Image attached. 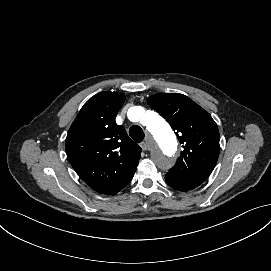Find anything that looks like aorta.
Masks as SVG:
<instances>
[{
    "label": "aorta",
    "instance_id": "aorta-1",
    "mask_svg": "<svg viewBox=\"0 0 271 271\" xmlns=\"http://www.w3.org/2000/svg\"><path fill=\"white\" fill-rule=\"evenodd\" d=\"M140 122L151 134L152 158L161 169L170 168L177 158V141L166 121L154 111L143 112Z\"/></svg>",
    "mask_w": 271,
    "mask_h": 271
}]
</instances>
